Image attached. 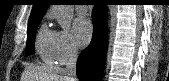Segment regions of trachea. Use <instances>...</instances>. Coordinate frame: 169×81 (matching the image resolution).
I'll use <instances>...</instances> for the list:
<instances>
[{"label":"trachea","mask_w":169,"mask_h":81,"mask_svg":"<svg viewBox=\"0 0 169 81\" xmlns=\"http://www.w3.org/2000/svg\"><path fill=\"white\" fill-rule=\"evenodd\" d=\"M82 3L83 4H81V5H88L89 2L86 1V2H82Z\"/></svg>","instance_id":"3493384b"}]
</instances>
